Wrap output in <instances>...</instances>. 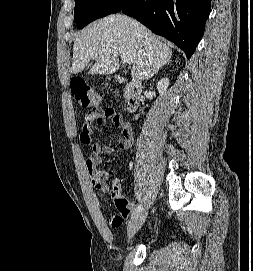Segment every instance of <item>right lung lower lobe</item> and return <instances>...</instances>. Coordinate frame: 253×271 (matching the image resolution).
Here are the masks:
<instances>
[{"mask_svg":"<svg viewBox=\"0 0 253 271\" xmlns=\"http://www.w3.org/2000/svg\"><path fill=\"white\" fill-rule=\"evenodd\" d=\"M210 10L211 0H127L120 9L173 41L188 59L204 33Z\"/></svg>","mask_w":253,"mask_h":271,"instance_id":"1","label":"right lung lower lobe"}]
</instances>
